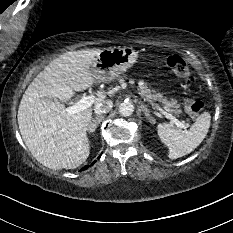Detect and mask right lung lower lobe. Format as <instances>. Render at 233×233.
Instances as JSON below:
<instances>
[{"instance_id":"98d812e1","label":"right lung lower lobe","mask_w":233,"mask_h":233,"mask_svg":"<svg viewBox=\"0 0 233 233\" xmlns=\"http://www.w3.org/2000/svg\"><path fill=\"white\" fill-rule=\"evenodd\" d=\"M98 158H100V156L98 157ZM96 161H94L92 164H94ZM89 166H85V167H83L81 170H85V169H87Z\"/></svg>"}]
</instances>
